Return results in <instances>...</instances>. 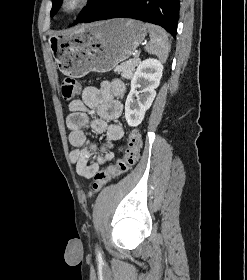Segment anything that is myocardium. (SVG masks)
Masks as SVG:
<instances>
[{
    "instance_id": "1",
    "label": "myocardium",
    "mask_w": 247,
    "mask_h": 280,
    "mask_svg": "<svg viewBox=\"0 0 247 280\" xmlns=\"http://www.w3.org/2000/svg\"><path fill=\"white\" fill-rule=\"evenodd\" d=\"M90 0H62L61 10L67 16H72L89 4Z\"/></svg>"
}]
</instances>
